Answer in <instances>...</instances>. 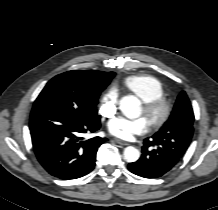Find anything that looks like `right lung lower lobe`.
Returning a JSON list of instances; mask_svg holds the SVG:
<instances>
[{
	"instance_id": "obj_1",
	"label": "right lung lower lobe",
	"mask_w": 218,
	"mask_h": 210,
	"mask_svg": "<svg viewBox=\"0 0 218 210\" xmlns=\"http://www.w3.org/2000/svg\"><path fill=\"white\" fill-rule=\"evenodd\" d=\"M100 119L87 120L57 109L33 110L30 133L33 150L43 168L60 179L80 178L93 170L104 138L82 135L100 128Z\"/></svg>"
}]
</instances>
